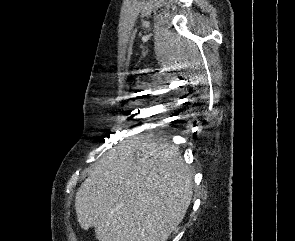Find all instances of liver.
Listing matches in <instances>:
<instances>
[{
    "instance_id": "liver-1",
    "label": "liver",
    "mask_w": 295,
    "mask_h": 241,
    "mask_svg": "<svg viewBox=\"0 0 295 241\" xmlns=\"http://www.w3.org/2000/svg\"><path fill=\"white\" fill-rule=\"evenodd\" d=\"M177 146L137 135L93 166L75 196L77 220L99 241H167L193 195Z\"/></svg>"
}]
</instances>
